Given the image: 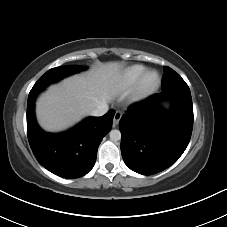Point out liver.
<instances>
[{"instance_id":"obj_1","label":"liver","mask_w":227,"mask_h":227,"mask_svg":"<svg viewBox=\"0 0 227 227\" xmlns=\"http://www.w3.org/2000/svg\"><path fill=\"white\" fill-rule=\"evenodd\" d=\"M123 88L121 64L108 62L52 85L36 103V115L46 131L58 132L79 122Z\"/></svg>"}]
</instances>
